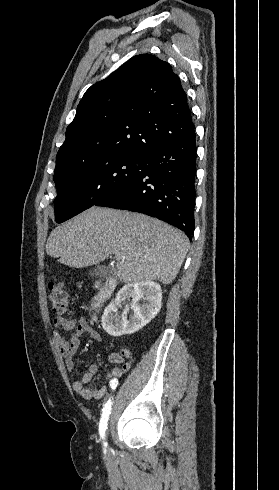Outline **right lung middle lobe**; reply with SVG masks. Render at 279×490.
<instances>
[{
	"label": "right lung middle lobe",
	"instance_id": "dd1d6c3e",
	"mask_svg": "<svg viewBox=\"0 0 279 490\" xmlns=\"http://www.w3.org/2000/svg\"><path fill=\"white\" fill-rule=\"evenodd\" d=\"M145 169V158L132 155H108L93 159L68 173L55 176L56 222L62 223L92 207L104 197L139 177Z\"/></svg>",
	"mask_w": 279,
	"mask_h": 490
}]
</instances>
